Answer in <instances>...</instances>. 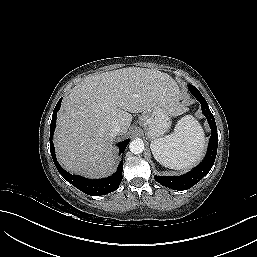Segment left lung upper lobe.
Here are the masks:
<instances>
[{
  "mask_svg": "<svg viewBox=\"0 0 257 257\" xmlns=\"http://www.w3.org/2000/svg\"><path fill=\"white\" fill-rule=\"evenodd\" d=\"M189 90L190 91H198L197 88H195L193 85H190V84H189Z\"/></svg>",
  "mask_w": 257,
  "mask_h": 257,
  "instance_id": "1",
  "label": "left lung upper lobe"
}]
</instances>
